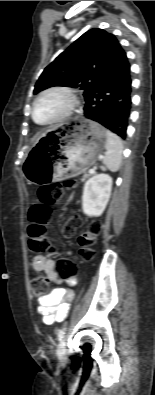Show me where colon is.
<instances>
[{"label": "colon", "instance_id": "obj_1", "mask_svg": "<svg viewBox=\"0 0 155 395\" xmlns=\"http://www.w3.org/2000/svg\"><path fill=\"white\" fill-rule=\"evenodd\" d=\"M65 186H73V182L68 181ZM62 186L59 184H49L41 186L38 190L40 204L35 205L29 212V247L32 251L40 253H51L52 248L45 234V225L50 214V206L55 204L61 197ZM79 226V220L72 218L63 226V233L66 236H73ZM102 232V225L98 220L92 221L85 232L79 238L80 254L82 259L89 261L94 257V244ZM60 281H71V275H78L79 269L70 260H63L57 270ZM49 288V281L43 276H36L31 280V290L36 296L43 295Z\"/></svg>", "mask_w": 155, "mask_h": 395}]
</instances>
